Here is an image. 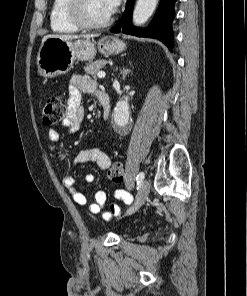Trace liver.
<instances>
[{
	"instance_id": "1",
	"label": "liver",
	"mask_w": 247,
	"mask_h": 296,
	"mask_svg": "<svg viewBox=\"0 0 247 296\" xmlns=\"http://www.w3.org/2000/svg\"><path fill=\"white\" fill-rule=\"evenodd\" d=\"M86 38V39H90L93 37H96V35H83V36H79V35H63V34H50V35H46L43 37L42 39V43L47 40L48 38H59L62 40H72V39H77V38Z\"/></svg>"
}]
</instances>
